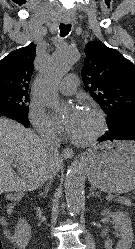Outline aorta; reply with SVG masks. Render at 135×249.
I'll list each match as a JSON object with an SVG mask.
<instances>
[{"label":"aorta","mask_w":135,"mask_h":249,"mask_svg":"<svg viewBox=\"0 0 135 249\" xmlns=\"http://www.w3.org/2000/svg\"><path fill=\"white\" fill-rule=\"evenodd\" d=\"M79 52L69 46L58 49L39 75V96L53 111L59 110L57 84L78 60ZM84 170L81 163L73 162L65 177V197L70 212L77 213L84 202Z\"/></svg>","instance_id":"1"}]
</instances>
